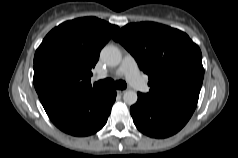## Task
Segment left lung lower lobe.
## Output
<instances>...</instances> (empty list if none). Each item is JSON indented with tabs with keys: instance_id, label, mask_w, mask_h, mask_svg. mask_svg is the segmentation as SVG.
Returning <instances> with one entry per match:
<instances>
[{
	"instance_id": "1",
	"label": "left lung lower lobe",
	"mask_w": 238,
	"mask_h": 158,
	"mask_svg": "<svg viewBox=\"0 0 238 158\" xmlns=\"http://www.w3.org/2000/svg\"><path fill=\"white\" fill-rule=\"evenodd\" d=\"M199 92L189 91L164 97L138 93L131 106L134 124L144 134L165 138L177 133L192 116Z\"/></svg>"
}]
</instances>
